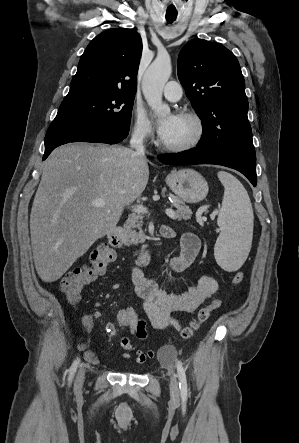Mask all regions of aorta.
Returning a JSON list of instances; mask_svg holds the SVG:
<instances>
[{
	"label": "aorta",
	"instance_id": "1",
	"mask_svg": "<svg viewBox=\"0 0 299 443\" xmlns=\"http://www.w3.org/2000/svg\"><path fill=\"white\" fill-rule=\"evenodd\" d=\"M172 72L168 55H159L146 70L142 80L143 95L157 117L170 114L168 105L162 102L163 88Z\"/></svg>",
	"mask_w": 299,
	"mask_h": 443
}]
</instances>
